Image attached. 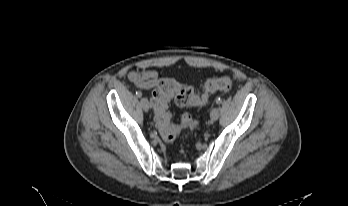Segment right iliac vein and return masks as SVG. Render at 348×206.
I'll use <instances>...</instances> for the list:
<instances>
[{"label":"right iliac vein","mask_w":348,"mask_h":206,"mask_svg":"<svg viewBox=\"0 0 348 206\" xmlns=\"http://www.w3.org/2000/svg\"><path fill=\"white\" fill-rule=\"evenodd\" d=\"M141 106L145 112L149 111V101L146 97L141 98Z\"/></svg>","instance_id":"obj_1"}]
</instances>
